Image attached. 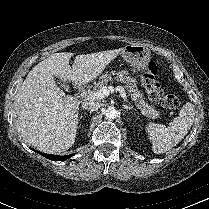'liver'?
Wrapping results in <instances>:
<instances>
[{"label": "liver", "instance_id": "1", "mask_svg": "<svg viewBox=\"0 0 209 209\" xmlns=\"http://www.w3.org/2000/svg\"><path fill=\"white\" fill-rule=\"evenodd\" d=\"M123 48L77 55L54 53L28 73L14 101V123L24 141L38 150L56 153L68 150L75 142L80 101L66 95L54 76L83 84L97 78Z\"/></svg>", "mask_w": 209, "mask_h": 209}]
</instances>
